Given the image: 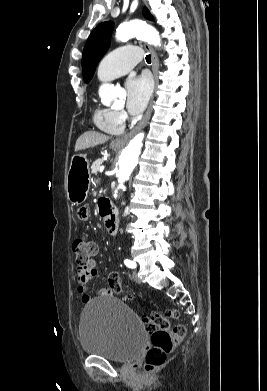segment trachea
<instances>
[{
	"label": "trachea",
	"instance_id": "3493384b",
	"mask_svg": "<svg viewBox=\"0 0 267 391\" xmlns=\"http://www.w3.org/2000/svg\"><path fill=\"white\" fill-rule=\"evenodd\" d=\"M146 62H147L148 64L151 63V57H150V55H147V56H146Z\"/></svg>",
	"mask_w": 267,
	"mask_h": 391
}]
</instances>
